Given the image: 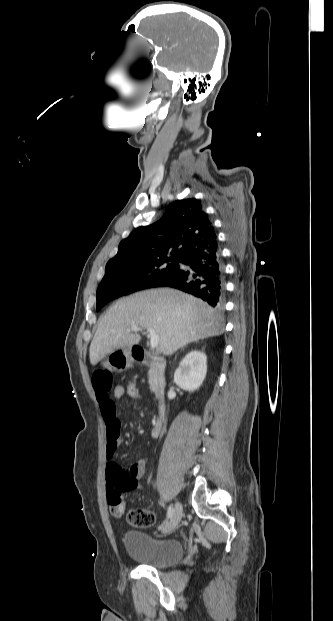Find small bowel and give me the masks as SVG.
<instances>
[{
	"label": "small bowel",
	"mask_w": 333,
	"mask_h": 621,
	"mask_svg": "<svg viewBox=\"0 0 333 621\" xmlns=\"http://www.w3.org/2000/svg\"><path fill=\"white\" fill-rule=\"evenodd\" d=\"M93 383L97 399L100 406L102 417L105 421L107 446L106 455L109 463L114 461L118 446L122 443V435L120 431V422L117 416L116 405L113 398H122L124 396V387L117 385L113 393L112 390V376L107 370L99 369L96 371L93 377ZM146 467V460L144 458L138 459L133 462L126 470L134 480V486L132 490L140 489L142 478ZM126 491L117 489L109 480L107 484V502L109 508L114 506H120L124 508V494Z\"/></svg>",
	"instance_id": "1"
}]
</instances>
